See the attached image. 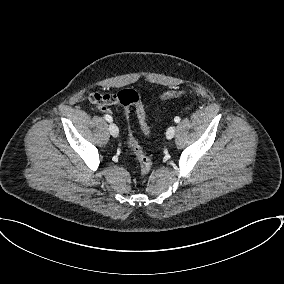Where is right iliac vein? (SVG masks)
I'll return each mask as SVG.
<instances>
[{
	"instance_id": "right-iliac-vein-1",
	"label": "right iliac vein",
	"mask_w": 284,
	"mask_h": 284,
	"mask_svg": "<svg viewBox=\"0 0 284 284\" xmlns=\"http://www.w3.org/2000/svg\"><path fill=\"white\" fill-rule=\"evenodd\" d=\"M109 131H110V134L113 136V137H117L119 135V129L117 127L116 124L114 123H111L109 125Z\"/></svg>"
}]
</instances>
